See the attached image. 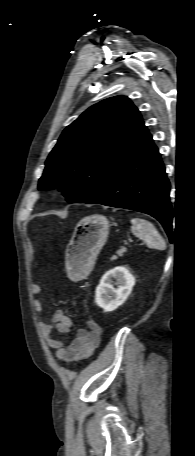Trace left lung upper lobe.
I'll use <instances>...</instances> for the list:
<instances>
[{
  "mask_svg": "<svg viewBox=\"0 0 195 456\" xmlns=\"http://www.w3.org/2000/svg\"><path fill=\"white\" fill-rule=\"evenodd\" d=\"M144 124L124 96L87 109L61 134L49 154L39 190L59 189L69 203H82L105 182Z\"/></svg>",
  "mask_w": 195,
  "mask_h": 456,
  "instance_id": "left-lung-upper-lobe-1",
  "label": "left lung upper lobe"
}]
</instances>
